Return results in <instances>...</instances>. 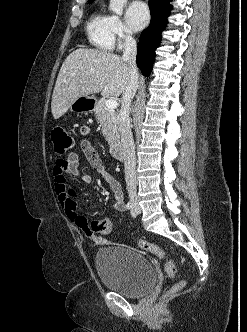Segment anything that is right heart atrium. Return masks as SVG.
I'll return each mask as SVG.
<instances>
[{"mask_svg":"<svg viewBox=\"0 0 247 332\" xmlns=\"http://www.w3.org/2000/svg\"><path fill=\"white\" fill-rule=\"evenodd\" d=\"M112 29L117 38L119 46H122L132 39V33L118 16H112Z\"/></svg>","mask_w":247,"mask_h":332,"instance_id":"obj_1","label":"right heart atrium"}]
</instances>
